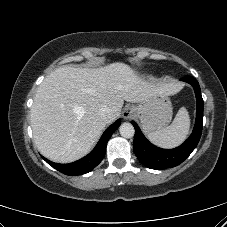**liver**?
Masks as SVG:
<instances>
[{"label": "liver", "instance_id": "obj_1", "mask_svg": "<svg viewBox=\"0 0 227 227\" xmlns=\"http://www.w3.org/2000/svg\"><path fill=\"white\" fill-rule=\"evenodd\" d=\"M178 89L175 82H148L122 62L99 68L59 67L44 79L34 97L31 127L35 145L54 162H73L90 150L106 124L120 116L124 100L142 103ZM103 106L111 110L108 121L99 113Z\"/></svg>", "mask_w": 227, "mask_h": 227}]
</instances>
